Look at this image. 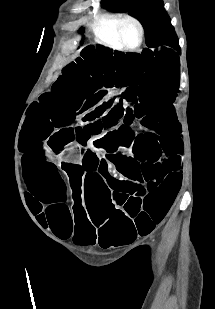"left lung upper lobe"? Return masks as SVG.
Instances as JSON below:
<instances>
[{"label": "left lung upper lobe", "mask_w": 215, "mask_h": 309, "mask_svg": "<svg viewBox=\"0 0 215 309\" xmlns=\"http://www.w3.org/2000/svg\"><path fill=\"white\" fill-rule=\"evenodd\" d=\"M103 4L133 14L145 29L148 47H178L177 35L162 0H103Z\"/></svg>", "instance_id": "1"}]
</instances>
